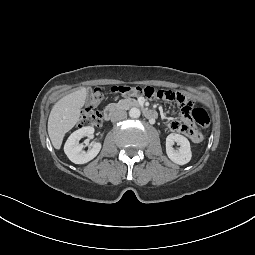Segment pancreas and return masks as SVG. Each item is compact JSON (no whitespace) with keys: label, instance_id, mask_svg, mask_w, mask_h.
<instances>
[{"label":"pancreas","instance_id":"pancreas-1","mask_svg":"<svg viewBox=\"0 0 255 255\" xmlns=\"http://www.w3.org/2000/svg\"><path fill=\"white\" fill-rule=\"evenodd\" d=\"M135 104H137L136 100L128 98V99L120 100L117 105L120 107H126L128 105H135Z\"/></svg>","mask_w":255,"mask_h":255}]
</instances>
